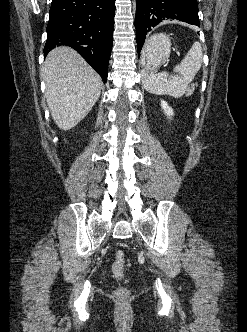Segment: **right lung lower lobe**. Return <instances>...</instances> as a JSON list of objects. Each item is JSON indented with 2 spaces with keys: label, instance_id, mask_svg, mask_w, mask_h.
Masks as SVG:
<instances>
[{
  "label": "right lung lower lobe",
  "instance_id": "98d812e1",
  "mask_svg": "<svg viewBox=\"0 0 247 332\" xmlns=\"http://www.w3.org/2000/svg\"><path fill=\"white\" fill-rule=\"evenodd\" d=\"M114 16L115 0H52L44 54L56 46H70L105 83Z\"/></svg>",
  "mask_w": 247,
  "mask_h": 332
}]
</instances>
